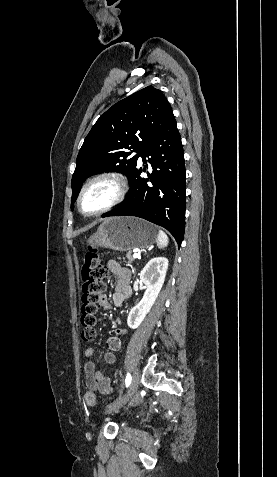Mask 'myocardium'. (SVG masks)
Here are the masks:
<instances>
[{"label": "myocardium", "instance_id": "1", "mask_svg": "<svg viewBox=\"0 0 277 477\" xmlns=\"http://www.w3.org/2000/svg\"><path fill=\"white\" fill-rule=\"evenodd\" d=\"M101 180L112 181L116 186V194L113 197V199L101 209L92 213H85L82 209V198L85 192L88 190V188L91 185ZM127 191H128V186H127L126 179L121 174L117 172H112V171L98 173L92 176L90 179H88L81 187L79 194L77 196V200H76L77 209L80 214L86 217H94V216L102 215L106 212L111 211L112 209L117 207L119 204H121L127 195Z\"/></svg>", "mask_w": 277, "mask_h": 477}]
</instances>
